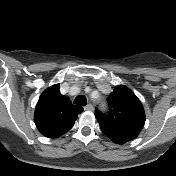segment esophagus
Segmentation results:
<instances>
[{
	"mask_svg": "<svg viewBox=\"0 0 176 176\" xmlns=\"http://www.w3.org/2000/svg\"><path fill=\"white\" fill-rule=\"evenodd\" d=\"M85 110H90L92 111L94 109L93 105L91 103L87 104L85 107H84Z\"/></svg>",
	"mask_w": 176,
	"mask_h": 176,
	"instance_id": "esophagus-1",
	"label": "esophagus"
}]
</instances>
